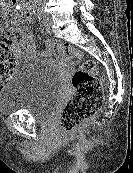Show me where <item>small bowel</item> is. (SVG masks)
Segmentation results:
<instances>
[{"label":"small bowel","instance_id":"obj_1","mask_svg":"<svg viewBox=\"0 0 133 173\" xmlns=\"http://www.w3.org/2000/svg\"><path fill=\"white\" fill-rule=\"evenodd\" d=\"M14 52L26 58H33L36 55V43L33 34L22 32L18 41L14 44Z\"/></svg>","mask_w":133,"mask_h":173}]
</instances>
